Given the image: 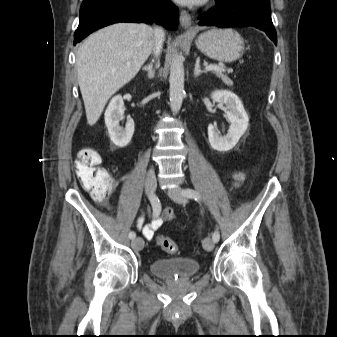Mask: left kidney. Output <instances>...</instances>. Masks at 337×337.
Here are the masks:
<instances>
[{
	"instance_id": "left-kidney-1",
	"label": "left kidney",
	"mask_w": 337,
	"mask_h": 337,
	"mask_svg": "<svg viewBox=\"0 0 337 337\" xmlns=\"http://www.w3.org/2000/svg\"><path fill=\"white\" fill-rule=\"evenodd\" d=\"M211 98L226 105V118L230 122L228 133L219 136L217 129L212 124L208 126V138L211 147L219 152L231 150L248 128L249 117L239 97L231 91L217 90Z\"/></svg>"
}]
</instances>
